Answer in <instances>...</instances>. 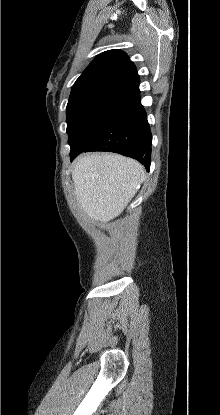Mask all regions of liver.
Returning a JSON list of instances; mask_svg holds the SVG:
<instances>
[{
	"label": "liver",
	"mask_w": 220,
	"mask_h": 415,
	"mask_svg": "<svg viewBox=\"0 0 220 415\" xmlns=\"http://www.w3.org/2000/svg\"><path fill=\"white\" fill-rule=\"evenodd\" d=\"M143 166L118 154H84L75 163L72 179L77 200L92 221L107 223L119 216L144 180Z\"/></svg>",
	"instance_id": "obj_1"
}]
</instances>
